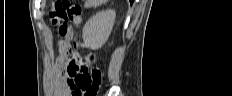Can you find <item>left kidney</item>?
<instances>
[{
  "label": "left kidney",
  "instance_id": "5707ae66",
  "mask_svg": "<svg viewBox=\"0 0 232 96\" xmlns=\"http://www.w3.org/2000/svg\"><path fill=\"white\" fill-rule=\"evenodd\" d=\"M116 13L107 9L96 13L83 28V40L87 47L96 50L101 48L109 38L114 25Z\"/></svg>",
  "mask_w": 232,
  "mask_h": 96
}]
</instances>
